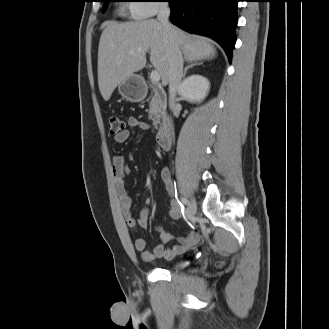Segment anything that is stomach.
I'll use <instances>...</instances> for the list:
<instances>
[{"label":"stomach","instance_id":"0dacf381","mask_svg":"<svg viewBox=\"0 0 329 329\" xmlns=\"http://www.w3.org/2000/svg\"><path fill=\"white\" fill-rule=\"evenodd\" d=\"M119 93L129 102H141L147 95L144 79L137 74L131 75L125 82L118 85Z\"/></svg>","mask_w":329,"mask_h":329}]
</instances>
